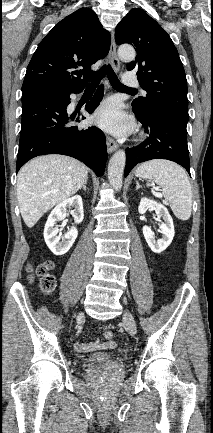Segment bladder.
<instances>
[{
  "label": "bladder",
  "instance_id": "bladder-1",
  "mask_svg": "<svg viewBox=\"0 0 213 433\" xmlns=\"http://www.w3.org/2000/svg\"><path fill=\"white\" fill-rule=\"evenodd\" d=\"M114 358V354L110 352H101L95 353L88 358V362L90 363H100L112 360Z\"/></svg>",
  "mask_w": 213,
  "mask_h": 433
}]
</instances>
